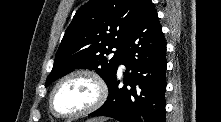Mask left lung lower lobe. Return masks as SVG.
Listing matches in <instances>:
<instances>
[{
    "label": "left lung lower lobe",
    "mask_w": 221,
    "mask_h": 122,
    "mask_svg": "<svg viewBox=\"0 0 221 122\" xmlns=\"http://www.w3.org/2000/svg\"><path fill=\"white\" fill-rule=\"evenodd\" d=\"M119 64L126 66L124 86L119 87L115 73L107 101L90 115L120 122H165L166 43L151 0H140Z\"/></svg>",
    "instance_id": "left-lung-lower-lobe-1"
}]
</instances>
